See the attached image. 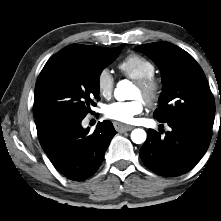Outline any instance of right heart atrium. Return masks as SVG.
Wrapping results in <instances>:
<instances>
[{
    "instance_id": "1",
    "label": "right heart atrium",
    "mask_w": 221,
    "mask_h": 221,
    "mask_svg": "<svg viewBox=\"0 0 221 221\" xmlns=\"http://www.w3.org/2000/svg\"><path fill=\"white\" fill-rule=\"evenodd\" d=\"M97 88L103 97H109L114 89L115 81L111 72L104 68L97 75Z\"/></svg>"
}]
</instances>
